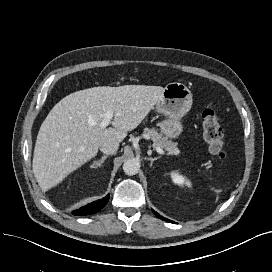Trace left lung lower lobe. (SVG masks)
Returning <instances> with one entry per match:
<instances>
[{"instance_id":"1","label":"left lung lower lobe","mask_w":272,"mask_h":272,"mask_svg":"<svg viewBox=\"0 0 272 272\" xmlns=\"http://www.w3.org/2000/svg\"><path fill=\"white\" fill-rule=\"evenodd\" d=\"M153 212H154V214L157 216V217H159L160 219H162V220H165V221H167V222H171V223H173L171 220H169V219H166V218H164V217H162L161 215H159L157 212H155L154 210H152Z\"/></svg>"}]
</instances>
